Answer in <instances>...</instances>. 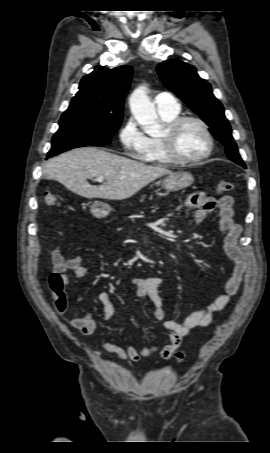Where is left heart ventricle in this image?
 <instances>
[{
	"instance_id": "1",
	"label": "left heart ventricle",
	"mask_w": 270,
	"mask_h": 453,
	"mask_svg": "<svg viewBox=\"0 0 270 453\" xmlns=\"http://www.w3.org/2000/svg\"><path fill=\"white\" fill-rule=\"evenodd\" d=\"M206 147V136L202 128L194 122L183 124L175 135V152L183 158L198 157L206 150Z\"/></svg>"
}]
</instances>
